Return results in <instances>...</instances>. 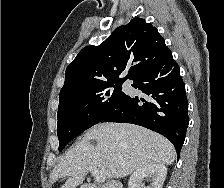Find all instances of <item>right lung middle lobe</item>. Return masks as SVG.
Returning a JSON list of instances; mask_svg holds the SVG:
<instances>
[{"mask_svg": "<svg viewBox=\"0 0 224 188\" xmlns=\"http://www.w3.org/2000/svg\"><path fill=\"white\" fill-rule=\"evenodd\" d=\"M124 81H114L60 92L57 134L59 151L73 138L99 123L122 103Z\"/></svg>", "mask_w": 224, "mask_h": 188, "instance_id": "obj_1", "label": "right lung middle lobe"}]
</instances>
